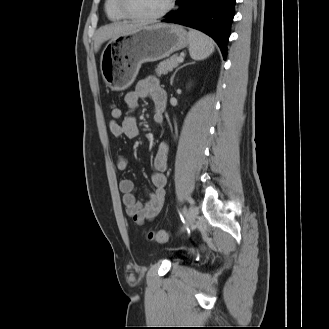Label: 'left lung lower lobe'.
Masks as SVG:
<instances>
[{
    "label": "left lung lower lobe",
    "instance_id": "0a47b994",
    "mask_svg": "<svg viewBox=\"0 0 329 329\" xmlns=\"http://www.w3.org/2000/svg\"><path fill=\"white\" fill-rule=\"evenodd\" d=\"M236 0H179V8L162 22L185 25L212 37L226 59Z\"/></svg>",
    "mask_w": 329,
    "mask_h": 329
}]
</instances>
